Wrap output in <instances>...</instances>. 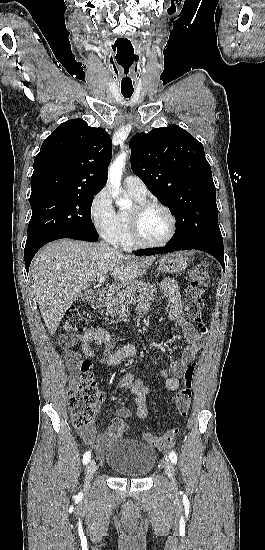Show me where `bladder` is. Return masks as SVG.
Returning a JSON list of instances; mask_svg holds the SVG:
<instances>
[{
    "instance_id": "31cf9c89",
    "label": "bladder",
    "mask_w": 265,
    "mask_h": 550,
    "mask_svg": "<svg viewBox=\"0 0 265 550\" xmlns=\"http://www.w3.org/2000/svg\"><path fill=\"white\" fill-rule=\"evenodd\" d=\"M107 465L116 474L143 478L154 468L157 452L151 446L133 439H112L105 452Z\"/></svg>"
}]
</instances>
